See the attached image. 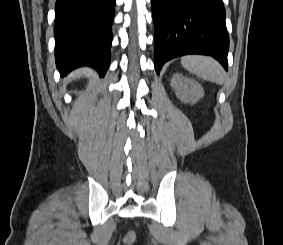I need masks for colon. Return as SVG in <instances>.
<instances>
[{"mask_svg": "<svg viewBox=\"0 0 283 245\" xmlns=\"http://www.w3.org/2000/svg\"><path fill=\"white\" fill-rule=\"evenodd\" d=\"M137 239V234L135 231H129L123 236L122 242L125 245L133 244Z\"/></svg>", "mask_w": 283, "mask_h": 245, "instance_id": "obj_1", "label": "colon"}]
</instances>
